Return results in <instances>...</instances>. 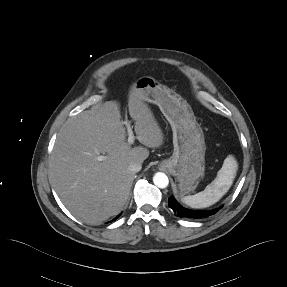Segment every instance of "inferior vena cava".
<instances>
[{
  "instance_id": "602c4592",
  "label": "inferior vena cava",
  "mask_w": 287,
  "mask_h": 287,
  "mask_svg": "<svg viewBox=\"0 0 287 287\" xmlns=\"http://www.w3.org/2000/svg\"><path fill=\"white\" fill-rule=\"evenodd\" d=\"M142 166L141 163L139 162H134L132 164L129 165V170L133 173H137L141 170Z\"/></svg>"
}]
</instances>
